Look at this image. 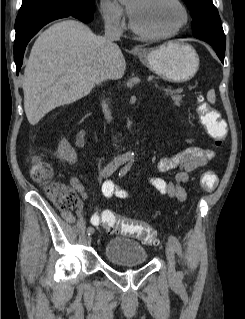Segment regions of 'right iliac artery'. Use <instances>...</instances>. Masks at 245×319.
Wrapping results in <instances>:
<instances>
[{"label":"right iliac artery","mask_w":245,"mask_h":319,"mask_svg":"<svg viewBox=\"0 0 245 319\" xmlns=\"http://www.w3.org/2000/svg\"><path fill=\"white\" fill-rule=\"evenodd\" d=\"M128 160H129V157H127V156H121V157L115 159L114 161L110 162L109 164H107V165L104 167V169H103V171H102V177H104V178L109 177L111 174H113V173L116 171V169H117L119 166L123 165V164L126 163ZM106 185H107L106 182H104V183H103V186H102V191H103L104 194H105V192L107 191ZM106 195H107V194H106ZM93 232H94L93 227H88V229H87L88 235H91Z\"/></svg>","instance_id":"1"}]
</instances>
